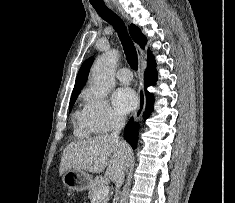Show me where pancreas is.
<instances>
[{
	"label": "pancreas",
	"mask_w": 235,
	"mask_h": 203,
	"mask_svg": "<svg viewBox=\"0 0 235 203\" xmlns=\"http://www.w3.org/2000/svg\"><path fill=\"white\" fill-rule=\"evenodd\" d=\"M107 184V181L101 177V176H97L91 186H90V189H89V199L90 200H93L94 199V196L96 194V192L99 190V189H102L103 187H105ZM109 200L108 196L104 197L101 199L100 203H107Z\"/></svg>",
	"instance_id": "1"
}]
</instances>
